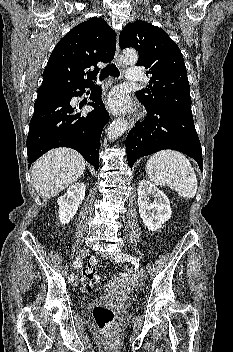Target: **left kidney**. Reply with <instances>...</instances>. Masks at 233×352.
I'll return each mask as SVG.
<instances>
[{
    "label": "left kidney",
    "mask_w": 233,
    "mask_h": 352,
    "mask_svg": "<svg viewBox=\"0 0 233 352\" xmlns=\"http://www.w3.org/2000/svg\"><path fill=\"white\" fill-rule=\"evenodd\" d=\"M139 214L148 230L156 231L171 218L170 201L167 196L148 180L138 186ZM150 197L154 198L151 202Z\"/></svg>",
    "instance_id": "1"
}]
</instances>
